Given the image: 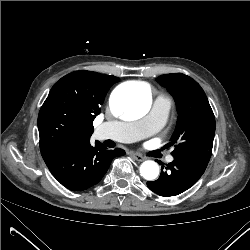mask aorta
I'll use <instances>...</instances> for the list:
<instances>
[{
  "instance_id": "1",
  "label": "aorta",
  "mask_w": 250,
  "mask_h": 250,
  "mask_svg": "<svg viewBox=\"0 0 250 250\" xmlns=\"http://www.w3.org/2000/svg\"><path fill=\"white\" fill-rule=\"evenodd\" d=\"M110 106L113 114L126 120L143 117L151 107V92L144 85L119 87L111 95ZM141 176L154 180L159 175V166L154 161H145L140 166Z\"/></svg>"
}]
</instances>
